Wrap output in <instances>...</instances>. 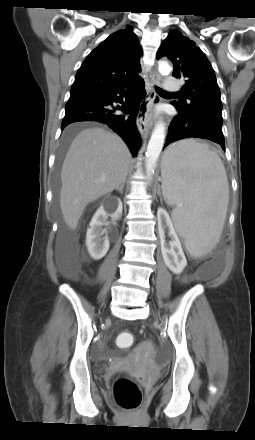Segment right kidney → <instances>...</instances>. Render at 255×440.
Wrapping results in <instances>:
<instances>
[{"label": "right kidney", "instance_id": "obj_1", "mask_svg": "<svg viewBox=\"0 0 255 440\" xmlns=\"http://www.w3.org/2000/svg\"><path fill=\"white\" fill-rule=\"evenodd\" d=\"M114 212L111 214L113 220L119 219L122 214V202L117 198V202L113 205ZM108 215L103 205L95 212L86 233V246L90 256L94 260L103 258L109 250V240L102 235L105 233L103 225Z\"/></svg>", "mask_w": 255, "mask_h": 440}]
</instances>
